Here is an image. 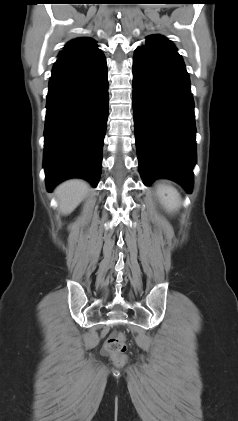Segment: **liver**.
I'll return each mask as SVG.
<instances>
[{
  "label": "liver",
  "instance_id": "liver-1",
  "mask_svg": "<svg viewBox=\"0 0 238 421\" xmlns=\"http://www.w3.org/2000/svg\"><path fill=\"white\" fill-rule=\"evenodd\" d=\"M89 185L78 179H73L60 184L55 195L59 201V208L63 214H70L83 200L89 191Z\"/></svg>",
  "mask_w": 238,
  "mask_h": 421
}]
</instances>
